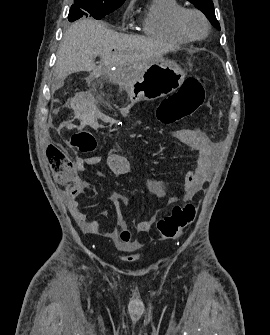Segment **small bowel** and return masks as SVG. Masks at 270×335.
<instances>
[{
	"instance_id": "1",
	"label": "small bowel",
	"mask_w": 270,
	"mask_h": 335,
	"mask_svg": "<svg viewBox=\"0 0 270 335\" xmlns=\"http://www.w3.org/2000/svg\"><path fill=\"white\" fill-rule=\"evenodd\" d=\"M192 147L199 152V158L196 168L186 173L184 178L183 191L180 196L165 199L161 184L148 178L146 180L147 189L156 197L162 200L163 205H171L177 201H188L192 199L211 178L213 161L218 149V143L211 141L201 131H192ZM45 161L52 165L53 173L56 178H66L68 185L65 191L67 206L74 220L80 228L88 234H101L104 232L103 226L98 221H90L85 212L80 208L78 198L87 188L86 183L79 177L78 173L83 172L87 166L97 165L101 161L100 156H91L88 158H71L66 154V149H60L59 144H46ZM107 165L117 176H125L133 171L130 161L118 151H113L107 158ZM110 201L114 207L117 219V225L121 228L127 226L122 206L129 204V199L124 194L112 192ZM103 216H107V211H102ZM154 223L153 219H145L138 223L137 230L141 233L148 232ZM108 236L116 234V229L112 228L105 232Z\"/></svg>"
}]
</instances>
